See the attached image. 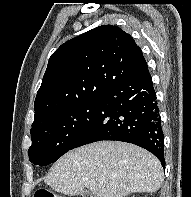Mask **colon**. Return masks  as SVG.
I'll return each instance as SVG.
<instances>
[{
    "mask_svg": "<svg viewBox=\"0 0 191 197\" xmlns=\"http://www.w3.org/2000/svg\"><path fill=\"white\" fill-rule=\"evenodd\" d=\"M34 197H62L46 189H39L35 192Z\"/></svg>",
    "mask_w": 191,
    "mask_h": 197,
    "instance_id": "colon-1",
    "label": "colon"
}]
</instances>
